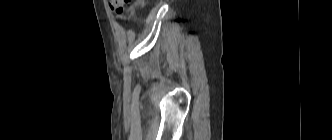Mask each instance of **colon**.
<instances>
[{"label": "colon", "mask_w": 332, "mask_h": 140, "mask_svg": "<svg viewBox=\"0 0 332 140\" xmlns=\"http://www.w3.org/2000/svg\"><path fill=\"white\" fill-rule=\"evenodd\" d=\"M134 3L136 6H142L144 0H109L111 9L117 14H121L126 5Z\"/></svg>", "instance_id": "obj_1"}]
</instances>
